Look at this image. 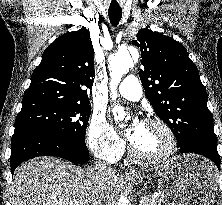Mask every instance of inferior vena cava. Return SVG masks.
Segmentation results:
<instances>
[{"label": "inferior vena cava", "instance_id": "602c4592", "mask_svg": "<svg viewBox=\"0 0 222 205\" xmlns=\"http://www.w3.org/2000/svg\"><path fill=\"white\" fill-rule=\"evenodd\" d=\"M95 169L98 171V172H103V171H111L112 169L109 167H106V165L102 162H96L95 164Z\"/></svg>", "mask_w": 222, "mask_h": 205}]
</instances>
